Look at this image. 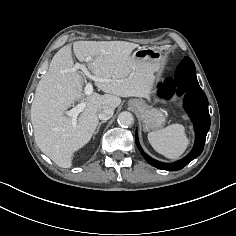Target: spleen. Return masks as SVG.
<instances>
[{
  "mask_svg": "<svg viewBox=\"0 0 236 236\" xmlns=\"http://www.w3.org/2000/svg\"><path fill=\"white\" fill-rule=\"evenodd\" d=\"M148 141L155 151L169 159H178L189 144L184 126L177 123L150 132Z\"/></svg>",
  "mask_w": 236,
  "mask_h": 236,
  "instance_id": "spleen-1",
  "label": "spleen"
}]
</instances>
